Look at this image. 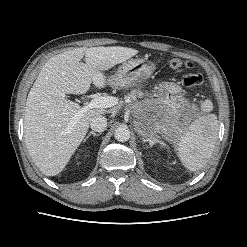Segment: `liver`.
I'll return each mask as SVG.
<instances>
[{"label":"liver","mask_w":247,"mask_h":247,"mask_svg":"<svg viewBox=\"0 0 247 247\" xmlns=\"http://www.w3.org/2000/svg\"><path fill=\"white\" fill-rule=\"evenodd\" d=\"M137 53L120 46L81 47L55 55L44 64L28 94L24 116L25 144L44 175L59 174L83 141L91 119L106 113L104 108H93L72 123L81 107L66 94H84L91 83L105 88L110 83L104 71Z\"/></svg>","instance_id":"obj_1"}]
</instances>
